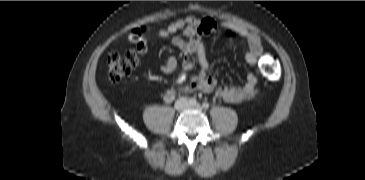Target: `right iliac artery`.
<instances>
[{"label":"right iliac artery","mask_w":365,"mask_h":180,"mask_svg":"<svg viewBox=\"0 0 365 180\" xmlns=\"http://www.w3.org/2000/svg\"><path fill=\"white\" fill-rule=\"evenodd\" d=\"M196 100L194 99V98H191V99H189V104L190 105H196Z\"/></svg>","instance_id":"obj_1"}]
</instances>
